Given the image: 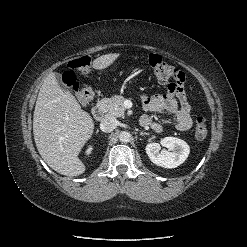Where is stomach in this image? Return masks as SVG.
<instances>
[{
	"mask_svg": "<svg viewBox=\"0 0 247 247\" xmlns=\"http://www.w3.org/2000/svg\"><path fill=\"white\" fill-rule=\"evenodd\" d=\"M132 72H133V73H137V72H138V68L132 69Z\"/></svg>",
	"mask_w": 247,
	"mask_h": 247,
	"instance_id": "0dacf381",
	"label": "stomach"
}]
</instances>
